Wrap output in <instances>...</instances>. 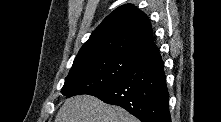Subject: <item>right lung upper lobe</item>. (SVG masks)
<instances>
[{
	"label": "right lung upper lobe",
	"mask_w": 221,
	"mask_h": 122,
	"mask_svg": "<svg viewBox=\"0 0 221 122\" xmlns=\"http://www.w3.org/2000/svg\"><path fill=\"white\" fill-rule=\"evenodd\" d=\"M156 46L145 13L126 4L113 11L82 46L73 65L108 56L138 60Z\"/></svg>",
	"instance_id": "obj_1"
}]
</instances>
